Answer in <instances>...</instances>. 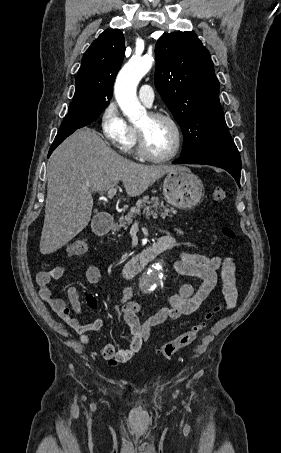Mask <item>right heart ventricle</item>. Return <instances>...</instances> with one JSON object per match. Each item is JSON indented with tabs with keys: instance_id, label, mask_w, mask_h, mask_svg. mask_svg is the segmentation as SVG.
<instances>
[{
	"instance_id": "right-heart-ventricle-1",
	"label": "right heart ventricle",
	"mask_w": 281,
	"mask_h": 453,
	"mask_svg": "<svg viewBox=\"0 0 281 453\" xmlns=\"http://www.w3.org/2000/svg\"><path fill=\"white\" fill-rule=\"evenodd\" d=\"M121 150L123 152H131L133 149L136 148L137 145V127L134 125L128 126V133L120 144Z\"/></svg>"
}]
</instances>
